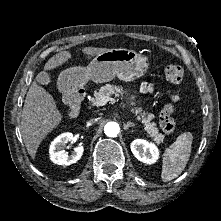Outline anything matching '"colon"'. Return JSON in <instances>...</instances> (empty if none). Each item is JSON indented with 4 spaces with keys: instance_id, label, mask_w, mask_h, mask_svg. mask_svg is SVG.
<instances>
[{
    "instance_id": "1",
    "label": "colon",
    "mask_w": 221,
    "mask_h": 221,
    "mask_svg": "<svg viewBox=\"0 0 221 221\" xmlns=\"http://www.w3.org/2000/svg\"><path fill=\"white\" fill-rule=\"evenodd\" d=\"M165 78L174 85H180L184 78V71L181 66L171 64L164 69ZM180 100L178 92L173 93L169 99L163 104L160 112V125L163 132L167 135H173L176 131V124L173 113Z\"/></svg>"
}]
</instances>
